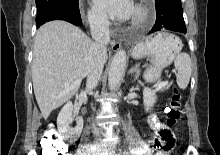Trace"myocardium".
I'll list each match as a JSON object with an SVG mask.
<instances>
[{"mask_svg":"<svg viewBox=\"0 0 220 155\" xmlns=\"http://www.w3.org/2000/svg\"><path fill=\"white\" fill-rule=\"evenodd\" d=\"M135 10L137 14L131 19V24L133 26H141L150 18L151 8L145 0H141L136 4Z\"/></svg>","mask_w":220,"mask_h":155,"instance_id":"f54148a6","label":"myocardium"}]
</instances>
